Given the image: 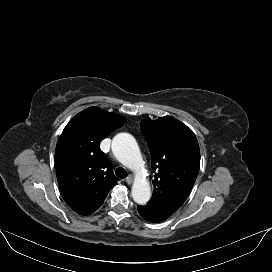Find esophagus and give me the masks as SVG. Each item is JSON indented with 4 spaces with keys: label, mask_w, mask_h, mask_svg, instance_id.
<instances>
[{
    "label": "esophagus",
    "mask_w": 272,
    "mask_h": 272,
    "mask_svg": "<svg viewBox=\"0 0 272 272\" xmlns=\"http://www.w3.org/2000/svg\"><path fill=\"white\" fill-rule=\"evenodd\" d=\"M127 184H131L133 182V176L129 175L126 179H125Z\"/></svg>",
    "instance_id": "34e87169"
}]
</instances>
